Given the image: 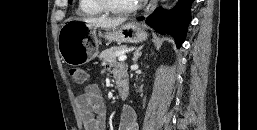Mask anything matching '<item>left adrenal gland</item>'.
I'll return each mask as SVG.
<instances>
[{"label": "left adrenal gland", "mask_w": 257, "mask_h": 130, "mask_svg": "<svg viewBox=\"0 0 257 130\" xmlns=\"http://www.w3.org/2000/svg\"><path fill=\"white\" fill-rule=\"evenodd\" d=\"M144 46H140L138 49L135 50L134 52V57L133 61L136 63L138 61V58L142 55L141 50L143 49Z\"/></svg>", "instance_id": "left-adrenal-gland-1"}]
</instances>
